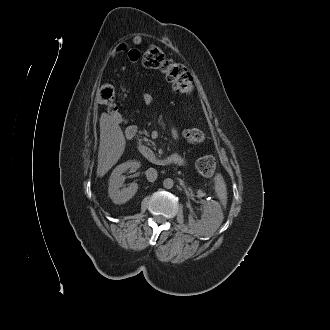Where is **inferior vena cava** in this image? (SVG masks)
<instances>
[{
  "mask_svg": "<svg viewBox=\"0 0 330 330\" xmlns=\"http://www.w3.org/2000/svg\"><path fill=\"white\" fill-rule=\"evenodd\" d=\"M157 176H158L157 170L154 168H149L146 171V177L149 182H154L157 179Z\"/></svg>",
  "mask_w": 330,
  "mask_h": 330,
  "instance_id": "obj_1",
  "label": "inferior vena cava"
}]
</instances>
